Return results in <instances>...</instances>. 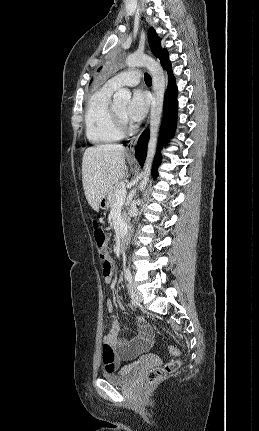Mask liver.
<instances>
[{"label":"liver","mask_w":259,"mask_h":431,"mask_svg":"<svg viewBox=\"0 0 259 431\" xmlns=\"http://www.w3.org/2000/svg\"><path fill=\"white\" fill-rule=\"evenodd\" d=\"M127 175L125 148L102 144L85 150L82 159V183L89 205L99 210L100 201L114 184Z\"/></svg>","instance_id":"obj_1"}]
</instances>
